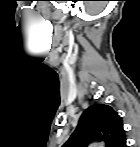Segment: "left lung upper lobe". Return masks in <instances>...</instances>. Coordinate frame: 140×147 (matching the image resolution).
Masks as SVG:
<instances>
[{"instance_id":"1","label":"left lung upper lobe","mask_w":140,"mask_h":147,"mask_svg":"<svg viewBox=\"0 0 140 147\" xmlns=\"http://www.w3.org/2000/svg\"><path fill=\"white\" fill-rule=\"evenodd\" d=\"M93 140L104 141L107 147L126 146L122 119L112 107L96 104L86 109L63 147H85Z\"/></svg>"}]
</instances>
